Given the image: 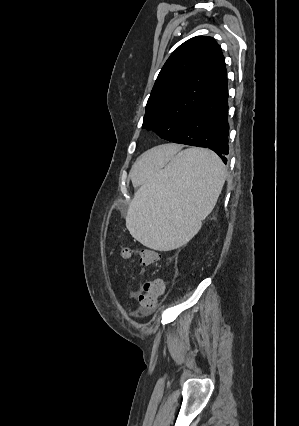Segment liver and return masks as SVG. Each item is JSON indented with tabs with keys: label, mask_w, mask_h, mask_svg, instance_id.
<instances>
[{
	"label": "liver",
	"mask_w": 299,
	"mask_h": 426,
	"mask_svg": "<svg viewBox=\"0 0 299 426\" xmlns=\"http://www.w3.org/2000/svg\"><path fill=\"white\" fill-rule=\"evenodd\" d=\"M177 152L174 145L165 144L144 152L134 163L131 177L134 181L145 179L157 168L163 166Z\"/></svg>",
	"instance_id": "liver-1"
}]
</instances>
